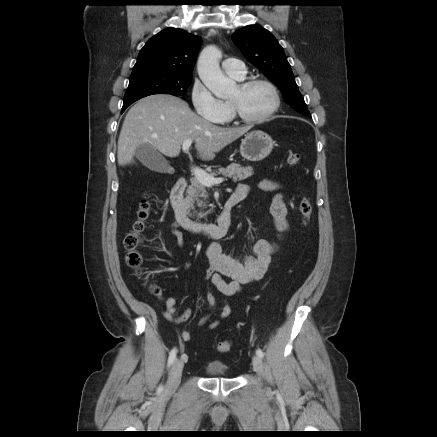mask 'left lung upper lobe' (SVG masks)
<instances>
[{
	"mask_svg": "<svg viewBox=\"0 0 437 437\" xmlns=\"http://www.w3.org/2000/svg\"><path fill=\"white\" fill-rule=\"evenodd\" d=\"M232 39L242 54L278 86L287 104L311 117L283 48L268 30L249 25L233 33Z\"/></svg>",
	"mask_w": 437,
	"mask_h": 437,
	"instance_id": "5c2ea615",
	"label": "left lung upper lobe"
}]
</instances>
